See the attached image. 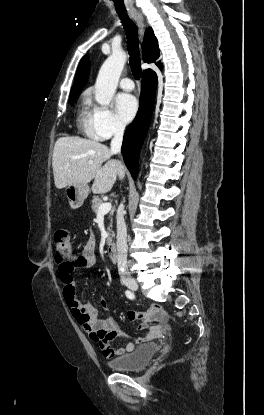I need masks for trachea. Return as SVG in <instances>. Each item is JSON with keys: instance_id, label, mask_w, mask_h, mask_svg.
I'll return each mask as SVG.
<instances>
[{"instance_id": "trachea-1", "label": "trachea", "mask_w": 264, "mask_h": 415, "mask_svg": "<svg viewBox=\"0 0 264 415\" xmlns=\"http://www.w3.org/2000/svg\"><path fill=\"white\" fill-rule=\"evenodd\" d=\"M121 23L126 31L127 44L129 51V64L131 71L136 79H140L142 69H141V60L140 53L138 49V30L135 23L129 18L127 13L118 12Z\"/></svg>"}]
</instances>
